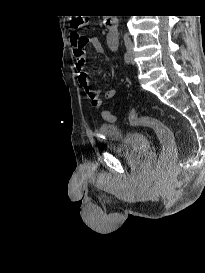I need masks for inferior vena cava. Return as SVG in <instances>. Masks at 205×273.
<instances>
[{"label": "inferior vena cava", "instance_id": "inferior-vena-cava-1", "mask_svg": "<svg viewBox=\"0 0 205 273\" xmlns=\"http://www.w3.org/2000/svg\"><path fill=\"white\" fill-rule=\"evenodd\" d=\"M124 42L126 47H129V48L132 47L131 39L129 38L127 34L124 35Z\"/></svg>", "mask_w": 205, "mask_h": 273}]
</instances>
